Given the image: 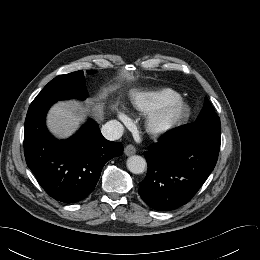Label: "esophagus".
I'll use <instances>...</instances> for the list:
<instances>
[{
  "label": "esophagus",
  "instance_id": "34e87169",
  "mask_svg": "<svg viewBox=\"0 0 260 260\" xmlns=\"http://www.w3.org/2000/svg\"><path fill=\"white\" fill-rule=\"evenodd\" d=\"M124 153L127 155V156H131L133 154L136 153V148L133 146V145H127L125 148H124Z\"/></svg>",
  "mask_w": 260,
  "mask_h": 260
}]
</instances>
